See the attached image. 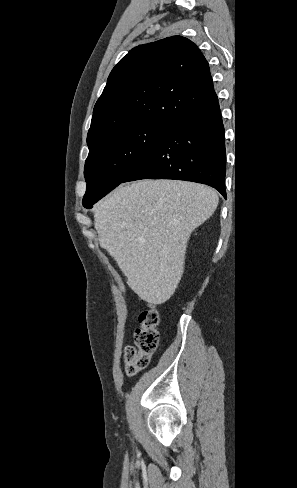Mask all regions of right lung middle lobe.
I'll use <instances>...</instances> for the list:
<instances>
[{
  "instance_id": "obj_1",
  "label": "right lung middle lobe",
  "mask_w": 297,
  "mask_h": 488,
  "mask_svg": "<svg viewBox=\"0 0 297 488\" xmlns=\"http://www.w3.org/2000/svg\"><path fill=\"white\" fill-rule=\"evenodd\" d=\"M170 127L162 123L136 124L120 129L89 147L84 176L87 209L118 186L143 160Z\"/></svg>"
}]
</instances>
